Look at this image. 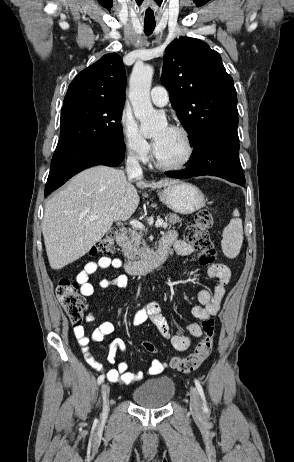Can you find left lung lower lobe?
<instances>
[{
  "label": "left lung lower lobe",
  "instance_id": "obj_1",
  "mask_svg": "<svg viewBox=\"0 0 294 462\" xmlns=\"http://www.w3.org/2000/svg\"><path fill=\"white\" fill-rule=\"evenodd\" d=\"M238 119L217 126L204 140L196 143L186 169L167 172L170 177L218 176L244 187L245 177L238 157Z\"/></svg>",
  "mask_w": 294,
  "mask_h": 462
}]
</instances>
